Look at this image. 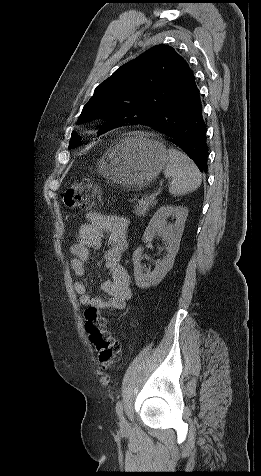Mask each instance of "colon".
<instances>
[{
  "label": "colon",
  "instance_id": "5ec220e1",
  "mask_svg": "<svg viewBox=\"0 0 261 476\" xmlns=\"http://www.w3.org/2000/svg\"><path fill=\"white\" fill-rule=\"evenodd\" d=\"M62 201L70 208L92 209L100 204V189L89 179L84 178L64 191ZM85 330L102 368L108 369L113 366L119 359L120 345L107 331L105 319L95 307H88L85 311Z\"/></svg>",
  "mask_w": 261,
  "mask_h": 476
}]
</instances>
